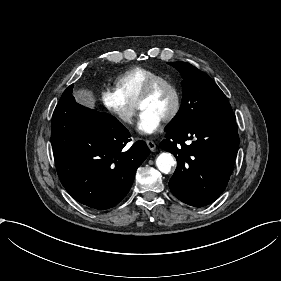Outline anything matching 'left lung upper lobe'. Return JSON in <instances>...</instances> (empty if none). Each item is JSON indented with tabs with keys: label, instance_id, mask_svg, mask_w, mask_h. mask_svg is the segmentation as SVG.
<instances>
[{
	"label": "left lung upper lobe",
	"instance_id": "obj_1",
	"mask_svg": "<svg viewBox=\"0 0 281 281\" xmlns=\"http://www.w3.org/2000/svg\"><path fill=\"white\" fill-rule=\"evenodd\" d=\"M168 64L181 73L183 99L178 114L165 131L233 114L226 96L206 73L185 62Z\"/></svg>",
	"mask_w": 281,
	"mask_h": 281
}]
</instances>
